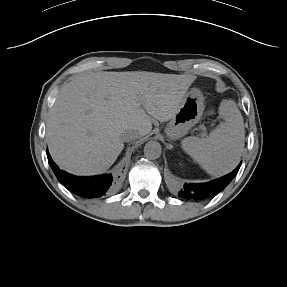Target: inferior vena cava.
<instances>
[{"label": "inferior vena cava", "instance_id": "602c4592", "mask_svg": "<svg viewBox=\"0 0 287 287\" xmlns=\"http://www.w3.org/2000/svg\"><path fill=\"white\" fill-rule=\"evenodd\" d=\"M139 132L133 129H128L124 131L121 135V139L123 142H130L132 140H135L139 137Z\"/></svg>", "mask_w": 287, "mask_h": 287}]
</instances>
